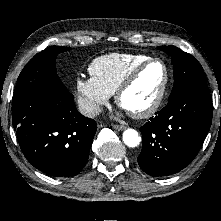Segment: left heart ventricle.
Listing matches in <instances>:
<instances>
[{"mask_svg":"<svg viewBox=\"0 0 221 221\" xmlns=\"http://www.w3.org/2000/svg\"><path fill=\"white\" fill-rule=\"evenodd\" d=\"M164 74V68L160 63H152L147 66L124 93L121 100L122 107L134 112L149 106L159 92Z\"/></svg>","mask_w":221,"mask_h":221,"instance_id":"left-heart-ventricle-1","label":"left heart ventricle"}]
</instances>
